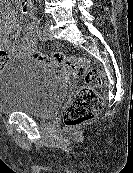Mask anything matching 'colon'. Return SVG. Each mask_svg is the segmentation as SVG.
Listing matches in <instances>:
<instances>
[{
    "instance_id": "5ec220e1",
    "label": "colon",
    "mask_w": 133,
    "mask_h": 173,
    "mask_svg": "<svg viewBox=\"0 0 133 173\" xmlns=\"http://www.w3.org/2000/svg\"><path fill=\"white\" fill-rule=\"evenodd\" d=\"M33 58L68 67L72 76L79 82V89L64 114V123L67 127L78 126L92 119L100 111L102 98L98 89L104 85L105 75L100 69L91 67L87 58L38 51L33 54ZM5 59V53L0 51V65L5 63Z\"/></svg>"
}]
</instances>
